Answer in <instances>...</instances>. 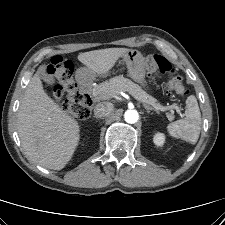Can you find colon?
Returning a JSON list of instances; mask_svg holds the SVG:
<instances>
[{"label": "colon", "instance_id": "1", "mask_svg": "<svg viewBox=\"0 0 225 225\" xmlns=\"http://www.w3.org/2000/svg\"><path fill=\"white\" fill-rule=\"evenodd\" d=\"M146 62L149 73L170 75L166 87L168 94L180 96L188 94L182 77L175 73L165 57L149 54ZM48 72L57 80V83L51 87V97L73 116L79 119L88 118L92 104L73 78L72 62L59 56L54 57L48 66Z\"/></svg>", "mask_w": 225, "mask_h": 225}]
</instances>
